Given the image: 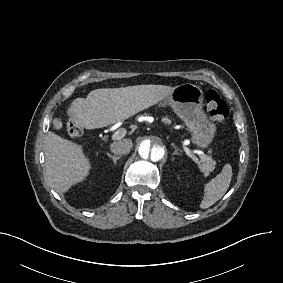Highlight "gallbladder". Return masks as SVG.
<instances>
[{"instance_id":"bac80fb5","label":"gallbladder","mask_w":283,"mask_h":283,"mask_svg":"<svg viewBox=\"0 0 283 283\" xmlns=\"http://www.w3.org/2000/svg\"><path fill=\"white\" fill-rule=\"evenodd\" d=\"M53 126L56 128V129H59L62 127V122L59 120V119H54L53 120Z\"/></svg>"}]
</instances>
